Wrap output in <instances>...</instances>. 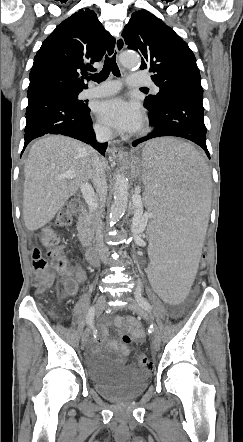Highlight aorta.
Listing matches in <instances>:
<instances>
[{
    "label": "aorta",
    "instance_id": "aorta-1",
    "mask_svg": "<svg viewBox=\"0 0 243 442\" xmlns=\"http://www.w3.org/2000/svg\"><path fill=\"white\" fill-rule=\"evenodd\" d=\"M120 62L123 67L128 69L138 68L140 59L133 53H123L120 57ZM129 184L128 179L123 173L119 171L115 175L114 182V200L110 208V215L108 224L114 225L125 213L129 198Z\"/></svg>",
    "mask_w": 243,
    "mask_h": 442
}]
</instances>
